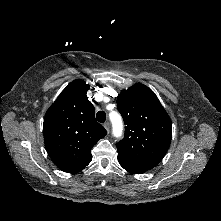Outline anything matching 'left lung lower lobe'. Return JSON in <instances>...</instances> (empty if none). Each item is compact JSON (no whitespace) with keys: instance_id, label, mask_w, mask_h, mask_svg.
<instances>
[{"instance_id":"0a47b994","label":"left lung lower lobe","mask_w":221,"mask_h":221,"mask_svg":"<svg viewBox=\"0 0 221 221\" xmlns=\"http://www.w3.org/2000/svg\"><path fill=\"white\" fill-rule=\"evenodd\" d=\"M118 162L119 164L129 173L132 174H142L146 171H148V169L118 155Z\"/></svg>"}]
</instances>
